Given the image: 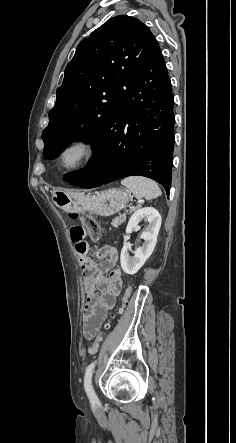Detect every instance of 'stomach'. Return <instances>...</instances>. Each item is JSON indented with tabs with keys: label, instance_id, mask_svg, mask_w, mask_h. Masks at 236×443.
<instances>
[{
	"label": "stomach",
	"instance_id": "obj_1",
	"mask_svg": "<svg viewBox=\"0 0 236 443\" xmlns=\"http://www.w3.org/2000/svg\"><path fill=\"white\" fill-rule=\"evenodd\" d=\"M56 206L64 211H89L99 216H111L122 210L129 202V194L118 188H110L94 195L81 192L57 191L53 194Z\"/></svg>",
	"mask_w": 236,
	"mask_h": 443
}]
</instances>
